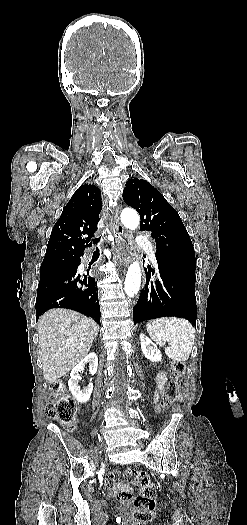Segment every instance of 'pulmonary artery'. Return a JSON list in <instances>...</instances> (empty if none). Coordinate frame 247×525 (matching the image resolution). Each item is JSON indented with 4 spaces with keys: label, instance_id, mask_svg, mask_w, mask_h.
Segmentation results:
<instances>
[{
    "label": "pulmonary artery",
    "instance_id": "e3ab8cb5",
    "mask_svg": "<svg viewBox=\"0 0 247 525\" xmlns=\"http://www.w3.org/2000/svg\"><path fill=\"white\" fill-rule=\"evenodd\" d=\"M136 241L142 246L147 259L150 260V264L156 267L159 264L156 254V240L151 236H140Z\"/></svg>",
    "mask_w": 247,
    "mask_h": 525
}]
</instances>
